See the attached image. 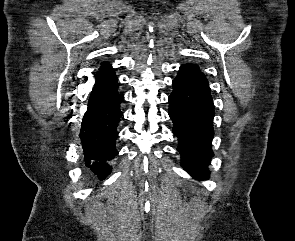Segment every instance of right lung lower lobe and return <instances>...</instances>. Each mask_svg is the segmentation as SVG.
Segmentation results:
<instances>
[{
    "mask_svg": "<svg viewBox=\"0 0 295 241\" xmlns=\"http://www.w3.org/2000/svg\"><path fill=\"white\" fill-rule=\"evenodd\" d=\"M118 86L116 80L93 88L79 134L85 165L100 180L111 172L109 161L118 154L117 127L122 117L120 104L124 101V96L118 92Z\"/></svg>",
    "mask_w": 295,
    "mask_h": 241,
    "instance_id": "right-lung-lower-lobe-1",
    "label": "right lung lower lobe"
}]
</instances>
